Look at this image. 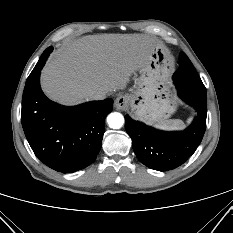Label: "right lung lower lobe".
I'll use <instances>...</instances> for the list:
<instances>
[{
    "mask_svg": "<svg viewBox=\"0 0 233 233\" xmlns=\"http://www.w3.org/2000/svg\"><path fill=\"white\" fill-rule=\"evenodd\" d=\"M51 48L41 55L23 92L21 122L37 158L48 167L72 173L90 165L101 149L105 117L112 111L111 98L64 107L41 90L40 72Z\"/></svg>",
    "mask_w": 233,
    "mask_h": 233,
    "instance_id": "98d812e1",
    "label": "right lung lower lobe"
}]
</instances>
